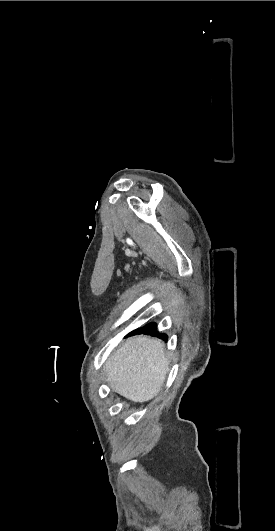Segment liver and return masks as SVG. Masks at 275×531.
Here are the masks:
<instances>
[{
  "label": "liver",
  "instance_id": "6515ba94",
  "mask_svg": "<svg viewBox=\"0 0 275 531\" xmlns=\"http://www.w3.org/2000/svg\"><path fill=\"white\" fill-rule=\"evenodd\" d=\"M104 371L115 393L133 403L150 401L159 395L168 373L164 345L143 335L127 339L106 361Z\"/></svg>",
  "mask_w": 275,
  "mask_h": 531
}]
</instances>
